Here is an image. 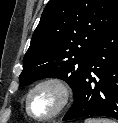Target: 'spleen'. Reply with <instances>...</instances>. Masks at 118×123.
I'll return each instance as SVG.
<instances>
[{
	"label": "spleen",
	"instance_id": "1",
	"mask_svg": "<svg viewBox=\"0 0 118 123\" xmlns=\"http://www.w3.org/2000/svg\"><path fill=\"white\" fill-rule=\"evenodd\" d=\"M84 123H116V121L108 118H87Z\"/></svg>",
	"mask_w": 118,
	"mask_h": 123
}]
</instances>
